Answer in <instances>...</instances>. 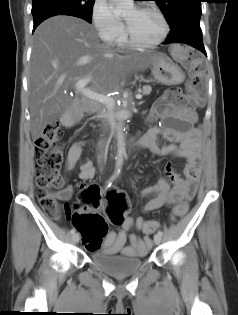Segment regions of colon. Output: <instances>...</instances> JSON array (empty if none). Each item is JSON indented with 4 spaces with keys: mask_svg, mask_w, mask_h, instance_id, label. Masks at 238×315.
<instances>
[{
    "mask_svg": "<svg viewBox=\"0 0 238 315\" xmlns=\"http://www.w3.org/2000/svg\"><path fill=\"white\" fill-rule=\"evenodd\" d=\"M172 56L191 69V95H185L182 90L173 88L168 90L161 100L152 108L150 117L157 119L164 115L168 108L174 106H199L202 104L206 87V68L200 53L192 48L175 45L171 48ZM36 160V196L41 207L50 214H57L60 204L55 194L64 187V177L61 174L63 162L62 130L58 122L46 124L43 132L35 141ZM80 202L74 212L69 205L63 208L69 216L73 226L80 232L84 246L90 250L100 247L107 234L106 218L98 212L104 206L105 215L110 223L122 225L129 212V204L124 193L110 190L102 193L99 186L91 184L81 185ZM187 204L182 202L175 205L171 211L173 219L184 216ZM157 221H146L143 232L153 234L158 228Z\"/></svg>",
    "mask_w": 238,
    "mask_h": 315,
    "instance_id": "5ec220e1",
    "label": "colon"
}]
</instances>
